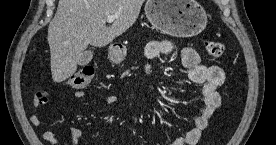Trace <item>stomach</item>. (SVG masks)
Here are the masks:
<instances>
[{
    "instance_id": "1",
    "label": "stomach",
    "mask_w": 276,
    "mask_h": 145,
    "mask_svg": "<svg viewBox=\"0 0 276 145\" xmlns=\"http://www.w3.org/2000/svg\"><path fill=\"white\" fill-rule=\"evenodd\" d=\"M144 10L155 29L174 37L198 35L207 25V14L196 0H148ZM108 57L118 64L124 60L125 52L112 47Z\"/></svg>"
}]
</instances>
